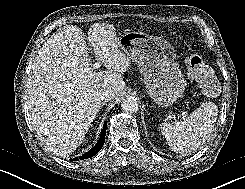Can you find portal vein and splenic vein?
<instances>
[{"label": "portal vein and splenic vein", "instance_id": "1", "mask_svg": "<svg viewBox=\"0 0 245 189\" xmlns=\"http://www.w3.org/2000/svg\"><path fill=\"white\" fill-rule=\"evenodd\" d=\"M100 66H101L100 62H96L95 64H93L92 69L96 70V69L100 68Z\"/></svg>", "mask_w": 245, "mask_h": 189}]
</instances>
